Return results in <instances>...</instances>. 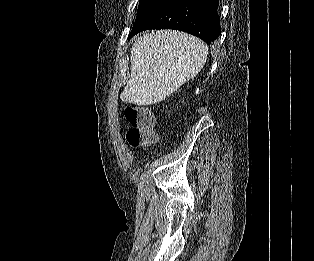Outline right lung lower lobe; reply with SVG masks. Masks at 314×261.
I'll use <instances>...</instances> for the list:
<instances>
[{
  "label": "right lung lower lobe",
  "instance_id": "1",
  "mask_svg": "<svg viewBox=\"0 0 314 261\" xmlns=\"http://www.w3.org/2000/svg\"><path fill=\"white\" fill-rule=\"evenodd\" d=\"M218 4L219 0H171L148 20L134 25L128 38L148 29H175L211 44L221 34Z\"/></svg>",
  "mask_w": 314,
  "mask_h": 261
}]
</instances>
